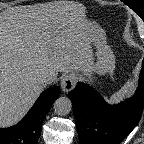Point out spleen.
<instances>
[{"mask_svg": "<svg viewBox=\"0 0 144 144\" xmlns=\"http://www.w3.org/2000/svg\"><path fill=\"white\" fill-rule=\"evenodd\" d=\"M135 87V82L132 79H129L118 92L113 94L109 100H106L108 103L111 104L118 103L122 101L125 97L131 95L134 92Z\"/></svg>", "mask_w": 144, "mask_h": 144, "instance_id": "1", "label": "spleen"}]
</instances>
